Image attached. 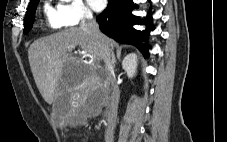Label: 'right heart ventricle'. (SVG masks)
Returning <instances> with one entry per match:
<instances>
[{
    "label": "right heart ventricle",
    "mask_w": 227,
    "mask_h": 142,
    "mask_svg": "<svg viewBox=\"0 0 227 142\" xmlns=\"http://www.w3.org/2000/svg\"><path fill=\"white\" fill-rule=\"evenodd\" d=\"M43 14L46 25L52 30H58L64 26L60 20L58 11L49 2H45L43 5Z\"/></svg>",
    "instance_id": "1"
}]
</instances>
